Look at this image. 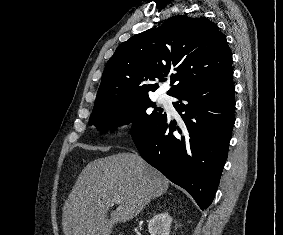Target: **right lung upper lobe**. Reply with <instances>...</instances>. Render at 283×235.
Returning <instances> with one entry per match:
<instances>
[{
    "label": "right lung upper lobe",
    "instance_id": "right-lung-upper-lobe-1",
    "mask_svg": "<svg viewBox=\"0 0 283 235\" xmlns=\"http://www.w3.org/2000/svg\"><path fill=\"white\" fill-rule=\"evenodd\" d=\"M225 35L205 17L174 16L121 43L106 64L95 105L146 97L171 72L174 96L232 72Z\"/></svg>",
    "mask_w": 283,
    "mask_h": 235
}]
</instances>
